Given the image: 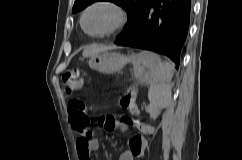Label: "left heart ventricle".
Listing matches in <instances>:
<instances>
[{"label":"left heart ventricle","instance_id":"left-heart-ventricle-1","mask_svg":"<svg viewBox=\"0 0 242 160\" xmlns=\"http://www.w3.org/2000/svg\"><path fill=\"white\" fill-rule=\"evenodd\" d=\"M117 13L110 7L99 6L91 9L85 17V27L91 33H101L113 26Z\"/></svg>","mask_w":242,"mask_h":160}]
</instances>
